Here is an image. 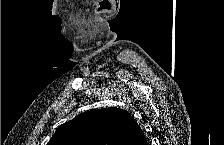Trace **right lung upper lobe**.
Returning <instances> with one entry per match:
<instances>
[{
	"label": "right lung upper lobe",
	"instance_id": "1",
	"mask_svg": "<svg viewBox=\"0 0 224 145\" xmlns=\"http://www.w3.org/2000/svg\"><path fill=\"white\" fill-rule=\"evenodd\" d=\"M47 145H147L135 119L119 108L84 112L59 126Z\"/></svg>",
	"mask_w": 224,
	"mask_h": 145
}]
</instances>
